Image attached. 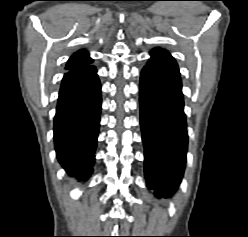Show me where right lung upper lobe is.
Here are the masks:
<instances>
[{"instance_id":"1","label":"right lung upper lobe","mask_w":248,"mask_h":237,"mask_svg":"<svg viewBox=\"0 0 248 237\" xmlns=\"http://www.w3.org/2000/svg\"><path fill=\"white\" fill-rule=\"evenodd\" d=\"M93 60L89 57L88 52L85 50L77 51L69 59L66 69L73 70L81 68L90 64Z\"/></svg>"}]
</instances>
